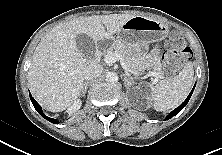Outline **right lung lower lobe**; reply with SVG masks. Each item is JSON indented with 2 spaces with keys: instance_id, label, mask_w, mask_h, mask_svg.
<instances>
[{
  "instance_id": "right-lung-lower-lobe-1",
  "label": "right lung lower lobe",
  "mask_w": 222,
  "mask_h": 155,
  "mask_svg": "<svg viewBox=\"0 0 222 155\" xmlns=\"http://www.w3.org/2000/svg\"><path fill=\"white\" fill-rule=\"evenodd\" d=\"M30 99H31V101H32L35 109L37 110V112H38L43 118L47 119L48 121H50V122H52V123H54V124H58V123H59L56 119L49 118V117H47V116L43 113L41 106L35 101V99L31 96V94H30Z\"/></svg>"
}]
</instances>
